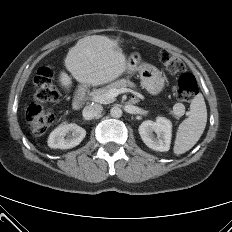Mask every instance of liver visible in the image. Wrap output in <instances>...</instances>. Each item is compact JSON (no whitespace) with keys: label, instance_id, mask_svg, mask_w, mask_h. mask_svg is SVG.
Listing matches in <instances>:
<instances>
[{"label":"liver","instance_id":"liver-1","mask_svg":"<svg viewBox=\"0 0 232 232\" xmlns=\"http://www.w3.org/2000/svg\"><path fill=\"white\" fill-rule=\"evenodd\" d=\"M66 69L82 86H100L120 77L128 69V60L117 39L92 35L79 39L64 59ZM60 85L66 89L72 80L64 71L59 75Z\"/></svg>","mask_w":232,"mask_h":232}]
</instances>
